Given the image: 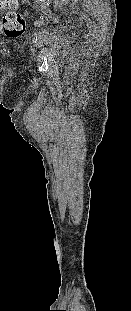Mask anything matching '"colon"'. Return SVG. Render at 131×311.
<instances>
[{"instance_id":"colon-1","label":"colon","mask_w":131,"mask_h":311,"mask_svg":"<svg viewBox=\"0 0 131 311\" xmlns=\"http://www.w3.org/2000/svg\"><path fill=\"white\" fill-rule=\"evenodd\" d=\"M0 11H7L0 21V31L8 38L20 36L25 30V18L18 10L17 0H0Z\"/></svg>"}]
</instances>
